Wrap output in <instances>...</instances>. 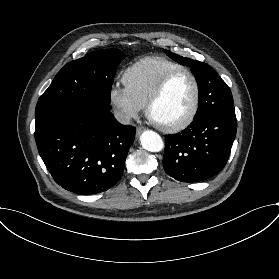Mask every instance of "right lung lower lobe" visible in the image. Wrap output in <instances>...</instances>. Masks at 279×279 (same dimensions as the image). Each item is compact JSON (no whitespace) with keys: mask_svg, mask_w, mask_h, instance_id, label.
Returning <instances> with one entry per match:
<instances>
[{"mask_svg":"<svg viewBox=\"0 0 279 279\" xmlns=\"http://www.w3.org/2000/svg\"><path fill=\"white\" fill-rule=\"evenodd\" d=\"M36 115L39 154L53 179L80 194L101 193L120 179L135 128L89 100L48 106Z\"/></svg>","mask_w":279,"mask_h":279,"instance_id":"right-lung-lower-lobe-1","label":"right lung lower lobe"}]
</instances>
